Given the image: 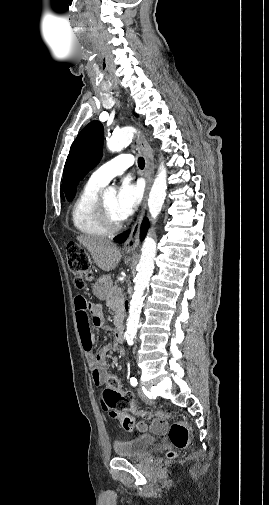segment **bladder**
Returning a JSON list of instances; mask_svg holds the SVG:
<instances>
[{
	"mask_svg": "<svg viewBox=\"0 0 269 505\" xmlns=\"http://www.w3.org/2000/svg\"><path fill=\"white\" fill-rule=\"evenodd\" d=\"M157 439L153 435L141 434L128 440L117 441L113 450L120 458H141L154 446Z\"/></svg>",
	"mask_w": 269,
	"mask_h": 505,
	"instance_id": "bladder-1",
	"label": "bladder"
}]
</instances>
